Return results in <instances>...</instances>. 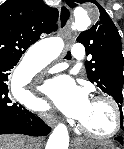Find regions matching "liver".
<instances>
[{"mask_svg":"<svg viewBox=\"0 0 124 149\" xmlns=\"http://www.w3.org/2000/svg\"><path fill=\"white\" fill-rule=\"evenodd\" d=\"M35 140L20 135L0 136V149H29Z\"/></svg>","mask_w":124,"mask_h":149,"instance_id":"liver-1","label":"liver"}]
</instances>
